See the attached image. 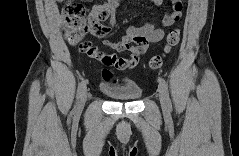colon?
<instances>
[{"label": "colon", "instance_id": "obj_1", "mask_svg": "<svg viewBox=\"0 0 239 156\" xmlns=\"http://www.w3.org/2000/svg\"><path fill=\"white\" fill-rule=\"evenodd\" d=\"M62 15L64 19L65 36L68 42L73 45L78 44L80 49L85 53H93L95 49L91 42L83 41V38L86 36V34L88 32H92V23L90 18L87 16L85 6L76 1H68L63 6ZM99 20H103V15L99 16ZM180 38V29H171L166 37L163 53L155 55L149 60V68L152 70L159 69L164 62L165 56L179 43ZM102 74L103 79L106 82H115V76L110 70L104 69Z\"/></svg>", "mask_w": 239, "mask_h": 156}]
</instances>
